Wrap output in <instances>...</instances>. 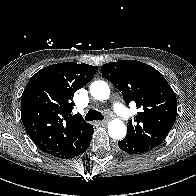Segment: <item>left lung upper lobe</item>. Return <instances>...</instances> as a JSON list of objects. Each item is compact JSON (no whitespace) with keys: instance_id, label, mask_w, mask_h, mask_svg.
I'll list each match as a JSON object with an SVG mask.
<instances>
[{"instance_id":"left-lung-upper-lobe-1","label":"left lung upper lobe","mask_w":196,"mask_h":196,"mask_svg":"<svg viewBox=\"0 0 196 196\" xmlns=\"http://www.w3.org/2000/svg\"><path fill=\"white\" fill-rule=\"evenodd\" d=\"M104 78L122 91L127 104L134 101L140 112L125 138L148 146L160 145L170 132L177 115V100L165 78L152 66L136 60H119L102 65Z\"/></svg>"}]
</instances>
